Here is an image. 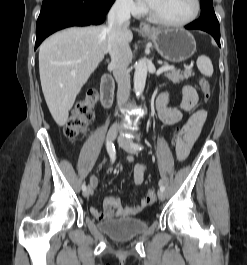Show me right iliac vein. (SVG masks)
Returning a JSON list of instances; mask_svg holds the SVG:
<instances>
[{
    "instance_id": "right-iliac-vein-1",
    "label": "right iliac vein",
    "mask_w": 247,
    "mask_h": 265,
    "mask_svg": "<svg viewBox=\"0 0 247 265\" xmlns=\"http://www.w3.org/2000/svg\"><path fill=\"white\" fill-rule=\"evenodd\" d=\"M117 134H118V128L117 127H111L108 131V134H107V140L109 142L114 141L115 138L117 137ZM90 193H91V189L87 188L86 190L83 191V196L89 197Z\"/></svg>"
}]
</instances>
